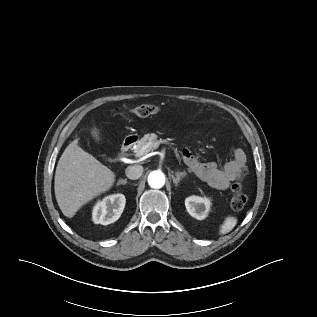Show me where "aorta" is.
<instances>
[{
  "label": "aorta",
  "instance_id": "obj_1",
  "mask_svg": "<svg viewBox=\"0 0 317 317\" xmlns=\"http://www.w3.org/2000/svg\"><path fill=\"white\" fill-rule=\"evenodd\" d=\"M148 184L151 188L159 189L165 184V175L160 170H154L148 175Z\"/></svg>",
  "mask_w": 317,
  "mask_h": 317
}]
</instances>
